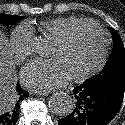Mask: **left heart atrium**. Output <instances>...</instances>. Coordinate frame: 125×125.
Segmentation results:
<instances>
[{"label": "left heart atrium", "mask_w": 125, "mask_h": 125, "mask_svg": "<svg viewBox=\"0 0 125 125\" xmlns=\"http://www.w3.org/2000/svg\"><path fill=\"white\" fill-rule=\"evenodd\" d=\"M72 78L60 58L34 60L21 72L23 83L35 91H49L66 84Z\"/></svg>", "instance_id": "obj_1"}]
</instances>
